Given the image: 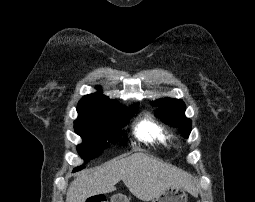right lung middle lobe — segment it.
Segmentation results:
<instances>
[{
    "mask_svg": "<svg viewBox=\"0 0 255 202\" xmlns=\"http://www.w3.org/2000/svg\"><path fill=\"white\" fill-rule=\"evenodd\" d=\"M133 106L130 111L122 110L115 114L102 118H78L74 122L76 134L82 137L83 143L77 146L79 154L85 160H90L110 146L108 141H113L119 134V129L124 127L129 117L137 111ZM85 166L76 168L80 170Z\"/></svg>",
    "mask_w": 255,
    "mask_h": 202,
    "instance_id": "dd1d6c3e",
    "label": "right lung middle lobe"
}]
</instances>
